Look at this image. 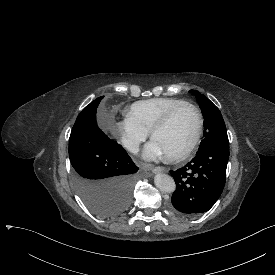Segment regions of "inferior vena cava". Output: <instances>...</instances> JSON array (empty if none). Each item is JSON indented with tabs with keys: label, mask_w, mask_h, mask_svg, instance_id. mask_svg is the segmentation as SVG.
Masks as SVG:
<instances>
[{
	"label": "inferior vena cava",
	"mask_w": 275,
	"mask_h": 275,
	"mask_svg": "<svg viewBox=\"0 0 275 275\" xmlns=\"http://www.w3.org/2000/svg\"><path fill=\"white\" fill-rule=\"evenodd\" d=\"M122 143L124 147L129 150L131 153H138L139 152V142L130 139H123Z\"/></svg>",
	"instance_id": "1"
}]
</instances>
